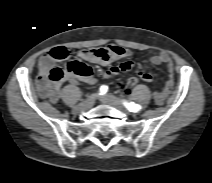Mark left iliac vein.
<instances>
[{
  "instance_id": "4c4485c4",
  "label": "left iliac vein",
  "mask_w": 212,
  "mask_h": 183,
  "mask_svg": "<svg viewBox=\"0 0 212 183\" xmlns=\"http://www.w3.org/2000/svg\"><path fill=\"white\" fill-rule=\"evenodd\" d=\"M100 100L103 103L112 105L114 107L123 108L121 101L117 97H115V96H113L111 94H107V95L101 96Z\"/></svg>"
}]
</instances>
